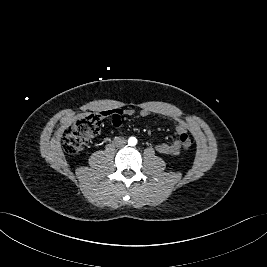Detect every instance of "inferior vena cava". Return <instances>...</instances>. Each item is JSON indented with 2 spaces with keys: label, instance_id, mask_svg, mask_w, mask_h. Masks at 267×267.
I'll use <instances>...</instances> for the list:
<instances>
[{
  "label": "inferior vena cava",
  "instance_id": "obj_1",
  "mask_svg": "<svg viewBox=\"0 0 267 267\" xmlns=\"http://www.w3.org/2000/svg\"><path fill=\"white\" fill-rule=\"evenodd\" d=\"M126 142H127L126 139L123 137H118L115 139V144L119 147L124 146L126 144Z\"/></svg>",
  "mask_w": 267,
  "mask_h": 267
}]
</instances>
